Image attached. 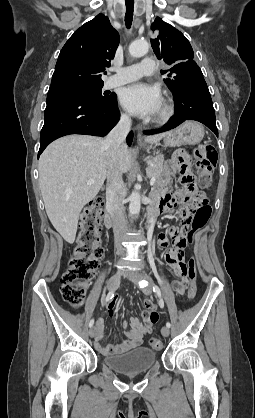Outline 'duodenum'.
I'll return each mask as SVG.
<instances>
[{"instance_id":"duodenum-1","label":"duodenum","mask_w":255,"mask_h":418,"mask_svg":"<svg viewBox=\"0 0 255 418\" xmlns=\"http://www.w3.org/2000/svg\"><path fill=\"white\" fill-rule=\"evenodd\" d=\"M159 211L155 207H151L148 211V221H147V228L148 230H151L154 226L155 218ZM112 215H113V209L112 206L109 204L108 201H106L105 204V213H104V224L107 228L112 227Z\"/></svg>"}]
</instances>
